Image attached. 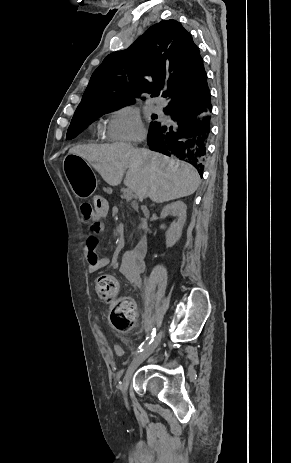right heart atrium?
Wrapping results in <instances>:
<instances>
[{
    "label": "right heart atrium",
    "instance_id": "obj_1",
    "mask_svg": "<svg viewBox=\"0 0 291 463\" xmlns=\"http://www.w3.org/2000/svg\"><path fill=\"white\" fill-rule=\"evenodd\" d=\"M144 134L139 112L134 106H123L111 112L102 131L105 139L115 142H137Z\"/></svg>",
    "mask_w": 291,
    "mask_h": 463
}]
</instances>
